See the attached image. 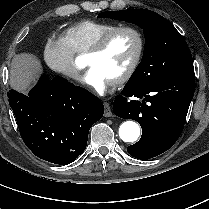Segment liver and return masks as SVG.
<instances>
[{
    "mask_svg": "<svg viewBox=\"0 0 209 209\" xmlns=\"http://www.w3.org/2000/svg\"><path fill=\"white\" fill-rule=\"evenodd\" d=\"M40 61L30 53L16 55L11 63L10 85L12 88L26 92L41 70Z\"/></svg>",
    "mask_w": 209,
    "mask_h": 209,
    "instance_id": "liver-1",
    "label": "liver"
}]
</instances>
